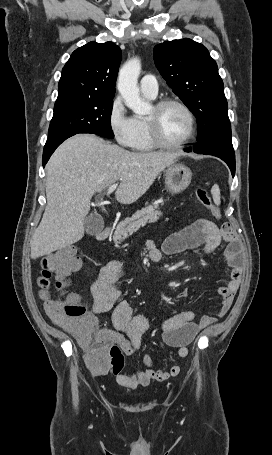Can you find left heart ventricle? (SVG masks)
Segmentation results:
<instances>
[{
    "label": "left heart ventricle",
    "mask_w": 272,
    "mask_h": 455,
    "mask_svg": "<svg viewBox=\"0 0 272 455\" xmlns=\"http://www.w3.org/2000/svg\"><path fill=\"white\" fill-rule=\"evenodd\" d=\"M153 114L154 109L152 108L148 117ZM158 127L160 135L165 142L170 144L178 143L188 133V118L181 108L170 105L158 114Z\"/></svg>",
    "instance_id": "b2bd125f"
}]
</instances>
